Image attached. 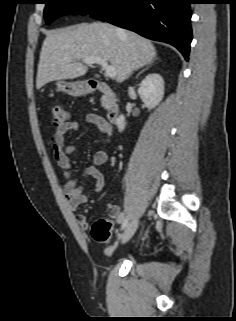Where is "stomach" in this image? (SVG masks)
Listing matches in <instances>:
<instances>
[{
    "instance_id": "1",
    "label": "stomach",
    "mask_w": 236,
    "mask_h": 321,
    "mask_svg": "<svg viewBox=\"0 0 236 321\" xmlns=\"http://www.w3.org/2000/svg\"><path fill=\"white\" fill-rule=\"evenodd\" d=\"M57 89L71 96H82L90 91L88 84L84 81L66 82L58 80Z\"/></svg>"
}]
</instances>
